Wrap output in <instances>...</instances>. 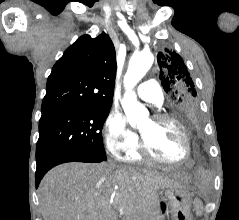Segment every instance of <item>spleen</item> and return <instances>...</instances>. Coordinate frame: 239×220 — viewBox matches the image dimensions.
<instances>
[{"label": "spleen", "instance_id": "obj_1", "mask_svg": "<svg viewBox=\"0 0 239 220\" xmlns=\"http://www.w3.org/2000/svg\"><path fill=\"white\" fill-rule=\"evenodd\" d=\"M194 209H195V212L198 216H201L202 215V203L200 202L199 199H195L194 201Z\"/></svg>", "mask_w": 239, "mask_h": 220}]
</instances>
